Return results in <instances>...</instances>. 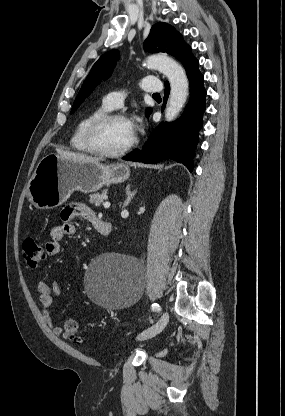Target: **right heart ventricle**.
Returning a JSON list of instances; mask_svg holds the SVG:
<instances>
[{
	"instance_id": "e07e8e85",
	"label": "right heart ventricle",
	"mask_w": 285,
	"mask_h": 416,
	"mask_svg": "<svg viewBox=\"0 0 285 416\" xmlns=\"http://www.w3.org/2000/svg\"><path fill=\"white\" fill-rule=\"evenodd\" d=\"M108 109L109 108L102 104L101 106L92 109L79 119L70 139V143L75 150L86 154L92 153L85 141L86 128L88 124L91 122V120L107 112Z\"/></svg>"
}]
</instances>
